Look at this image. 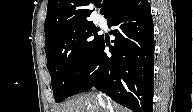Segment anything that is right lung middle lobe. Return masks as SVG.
Returning a JSON list of instances; mask_svg holds the SVG:
<instances>
[{
	"mask_svg": "<svg viewBox=\"0 0 193 112\" xmlns=\"http://www.w3.org/2000/svg\"><path fill=\"white\" fill-rule=\"evenodd\" d=\"M92 23L62 30L45 43L47 68L56 102L70 96L99 49L103 36Z\"/></svg>",
	"mask_w": 193,
	"mask_h": 112,
	"instance_id": "obj_1",
	"label": "right lung middle lobe"
}]
</instances>
